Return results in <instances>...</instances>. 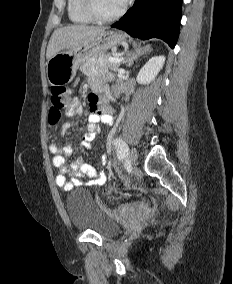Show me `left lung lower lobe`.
<instances>
[{
  "label": "left lung lower lobe",
  "instance_id": "1",
  "mask_svg": "<svg viewBox=\"0 0 233 284\" xmlns=\"http://www.w3.org/2000/svg\"><path fill=\"white\" fill-rule=\"evenodd\" d=\"M182 1L135 0L133 7L111 27L122 29L132 37L159 38L174 48L179 34Z\"/></svg>",
  "mask_w": 233,
  "mask_h": 284
}]
</instances>
